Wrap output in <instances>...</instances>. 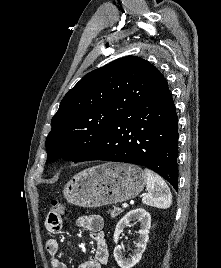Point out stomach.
<instances>
[{
  "label": "stomach",
  "mask_w": 221,
  "mask_h": 268,
  "mask_svg": "<svg viewBox=\"0 0 221 268\" xmlns=\"http://www.w3.org/2000/svg\"><path fill=\"white\" fill-rule=\"evenodd\" d=\"M145 184L146 175L139 166L108 162L74 175L63 195L73 205L95 208L132 199Z\"/></svg>",
  "instance_id": "1"
}]
</instances>
